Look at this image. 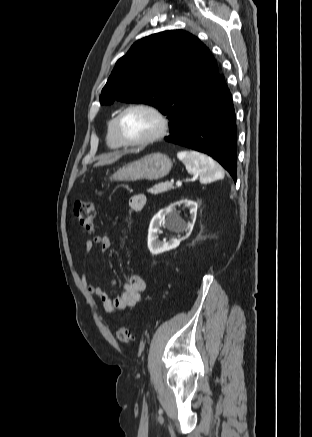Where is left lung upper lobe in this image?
I'll use <instances>...</instances> for the list:
<instances>
[{
	"mask_svg": "<svg viewBox=\"0 0 312 437\" xmlns=\"http://www.w3.org/2000/svg\"><path fill=\"white\" fill-rule=\"evenodd\" d=\"M218 75L216 60L198 38L182 30L164 31L138 40L117 61L100 103L154 106L167 116L172 132Z\"/></svg>",
	"mask_w": 312,
	"mask_h": 437,
	"instance_id": "left-lung-upper-lobe-1",
	"label": "left lung upper lobe"
}]
</instances>
